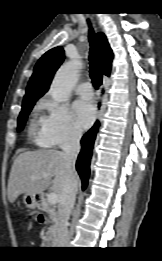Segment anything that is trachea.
Here are the masks:
<instances>
[{
  "instance_id": "obj_1",
  "label": "trachea",
  "mask_w": 162,
  "mask_h": 261,
  "mask_svg": "<svg viewBox=\"0 0 162 261\" xmlns=\"http://www.w3.org/2000/svg\"><path fill=\"white\" fill-rule=\"evenodd\" d=\"M89 40H90V55H89V64H90V77L96 88L102 84V75H101V66L100 61L97 56V47L95 44V35L92 28L89 31Z\"/></svg>"
}]
</instances>
